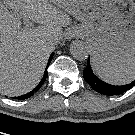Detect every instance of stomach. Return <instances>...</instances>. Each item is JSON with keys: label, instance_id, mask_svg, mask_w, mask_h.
<instances>
[{"label": "stomach", "instance_id": "1", "mask_svg": "<svg viewBox=\"0 0 135 135\" xmlns=\"http://www.w3.org/2000/svg\"><path fill=\"white\" fill-rule=\"evenodd\" d=\"M54 4L80 20L92 58L105 68L135 59L134 0H53Z\"/></svg>", "mask_w": 135, "mask_h": 135}]
</instances>
